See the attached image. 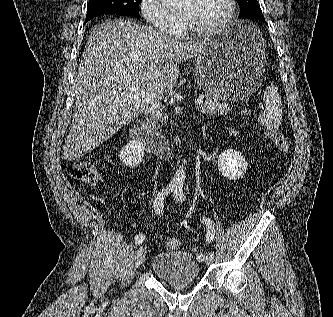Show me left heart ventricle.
<instances>
[{"mask_svg": "<svg viewBox=\"0 0 333 317\" xmlns=\"http://www.w3.org/2000/svg\"><path fill=\"white\" fill-rule=\"evenodd\" d=\"M226 11V0H184L179 7V13L198 28L216 24Z\"/></svg>", "mask_w": 333, "mask_h": 317, "instance_id": "1", "label": "left heart ventricle"}]
</instances>
